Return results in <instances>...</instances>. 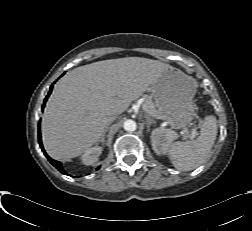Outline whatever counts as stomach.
<instances>
[{"label":"stomach","mask_w":252,"mask_h":231,"mask_svg":"<svg viewBox=\"0 0 252 231\" xmlns=\"http://www.w3.org/2000/svg\"><path fill=\"white\" fill-rule=\"evenodd\" d=\"M150 90L159 119L167 121L175 129L187 127L191 123L195 116V79L169 67L151 85Z\"/></svg>","instance_id":"stomach-1"}]
</instances>
